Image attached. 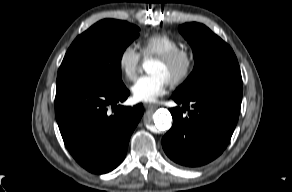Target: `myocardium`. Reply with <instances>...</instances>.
<instances>
[{
    "instance_id": "f54148a6",
    "label": "myocardium",
    "mask_w": 292,
    "mask_h": 192,
    "mask_svg": "<svg viewBox=\"0 0 292 192\" xmlns=\"http://www.w3.org/2000/svg\"><path fill=\"white\" fill-rule=\"evenodd\" d=\"M156 59L167 65L178 67L177 73L168 81L171 86L183 84L191 76L195 67V56L191 50L186 48H178L158 55Z\"/></svg>"
}]
</instances>
